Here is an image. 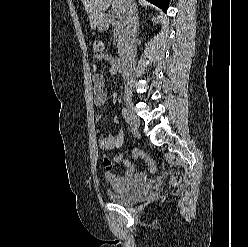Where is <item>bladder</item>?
Wrapping results in <instances>:
<instances>
[{
  "label": "bladder",
  "instance_id": "obj_1",
  "mask_svg": "<svg viewBox=\"0 0 248 247\" xmlns=\"http://www.w3.org/2000/svg\"><path fill=\"white\" fill-rule=\"evenodd\" d=\"M151 189L152 186L150 184H143L128 193L112 191L109 193V197L117 204L129 205L147 196L151 192Z\"/></svg>",
  "mask_w": 248,
  "mask_h": 247
}]
</instances>
